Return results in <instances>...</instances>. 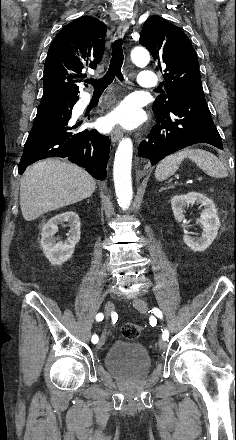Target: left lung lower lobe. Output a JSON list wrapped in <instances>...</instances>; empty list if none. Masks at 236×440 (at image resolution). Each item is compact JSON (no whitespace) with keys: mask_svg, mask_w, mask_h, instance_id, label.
<instances>
[{"mask_svg":"<svg viewBox=\"0 0 236 440\" xmlns=\"http://www.w3.org/2000/svg\"><path fill=\"white\" fill-rule=\"evenodd\" d=\"M155 118L156 124L139 145L138 154L145 164L153 166L175 151L198 143L223 149L204 93L180 97L170 111Z\"/></svg>","mask_w":236,"mask_h":440,"instance_id":"obj_1","label":"left lung lower lobe"}]
</instances>
